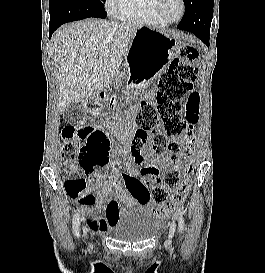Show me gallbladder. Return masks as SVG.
<instances>
[{"label":"gallbladder","instance_id":"obj_1","mask_svg":"<svg viewBox=\"0 0 265 273\" xmlns=\"http://www.w3.org/2000/svg\"><path fill=\"white\" fill-rule=\"evenodd\" d=\"M82 112V103H71L69 106L66 107L65 111L63 112V117L67 122L73 123L78 121L82 117Z\"/></svg>","mask_w":265,"mask_h":273}]
</instances>
